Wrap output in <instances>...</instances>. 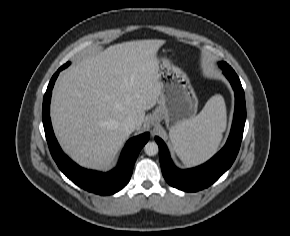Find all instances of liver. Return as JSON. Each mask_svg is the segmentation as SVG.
Wrapping results in <instances>:
<instances>
[{"mask_svg":"<svg viewBox=\"0 0 290 236\" xmlns=\"http://www.w3.org/2000/svg\"><path fill=\"white\" fill-rule=\"evenodd\" d=\"M165 40L128 41L83 58L56 82L51 120L66 154L80 166L103 170L127 134L128 117L139 130L145 111L159 100L157 52Z\"/></svg>","mask_w":290,"mask_h":236,"instance_id":"obj_1","label":"liver"}]
</instances>
